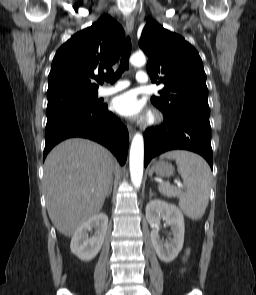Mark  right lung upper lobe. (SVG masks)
Returning <instances> with one entry per match:
<instances>
[{
	"instance_id": "obj_1",
	"label": "right lung upper lobe",
	"mask_w": 256,
	"mask_h": 295,
	"mask_svg": "<svg viewBox=\"0 0 256 295\" xmlns=\"http://www.w3.org/2000/svg\"><path fill=\"white\" fill-rule=\"evenodd\" d=\"M125 32L109 15L74 34L56 52L48 77V100L70 92H97L99 78L113 72Z\"/></svg>"
}]
</instances>
